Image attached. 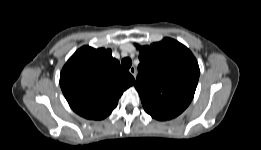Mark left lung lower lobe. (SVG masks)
Listing matches in <instances>:
<instances>
[{"mask_svg":"<svg viewBox=\"0 0 261 150\" xmlns=\"http://www.w3.org/2000/svg\"><path fill=\"white\" fill-rule=\"evenodd\" d=\"M153 118H155V119H158V120H167V119H165V118H163V117H161V116H158V115H153V114H150Z\"/></svg>","mask_w":261,"mask_h":150,"instance_id":"left-lung-lower-lobe-1","label":"left lung lower lobe"}]
</instances>
